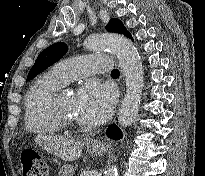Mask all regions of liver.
I'll list each match as a JSON object with an SVG mask.
<instances>
[{"mask_svg": "<svg viewBox=\"0 0 205 176\" xmlns=\"http://www.w3.org/2000/svg\"><path fill=\"white\" fill-rule=\"evenodd\" d=\"M35 142L65 161H74L82 154L83 143L61 136L38 135Z\"/></svg>", "mask_w": 205, "mask_h": 176, "instance_id": "obj_1", "label": "liver"}]
</instances>
